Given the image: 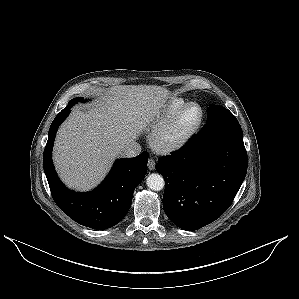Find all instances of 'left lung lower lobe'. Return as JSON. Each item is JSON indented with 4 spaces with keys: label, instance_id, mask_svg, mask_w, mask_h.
I'll return each mask as SVG.
<instances>
[{
    "label": "left lung lower lobe",
    "instance_id": "obj_1",
    "mask_svg": "<svg viewBox=\"0 0 299 299\" xmlns=\"http://www.w3.org/2000/svg\"><path fill=\"white\" fill-rule=\"evenodd\" d=\"M163 208L179 228L197 230L221 216L247 172L241 126L229 112L196 134L181 150L162 157Z\"/></svg>",
    "mask_w": 299,
    "mask_h": 299
}]
</instances>
